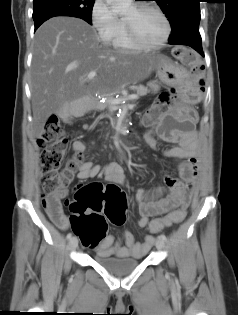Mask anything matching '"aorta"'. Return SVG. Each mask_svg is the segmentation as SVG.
Masks as SVG:
<instances>
[{
	"mask_svg": "<svg viewBox=\"0 0 238 315\" xmlns=\"http://www.w3.org/2000/svg\"><path fill=\"white\" fill-rule=\"evenodd\" d=\"M111 5L112 11L125 14L132 9V0H106Z\"/></svg>",
	"mask_w": 238,
	"mask_h": 315,
	"instance_id": "762f6f07",
	"label": "aorta"
}]
</instances>
